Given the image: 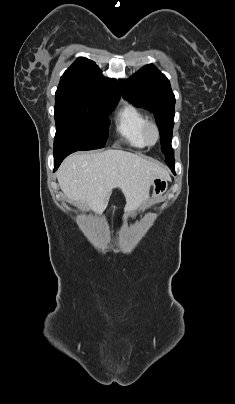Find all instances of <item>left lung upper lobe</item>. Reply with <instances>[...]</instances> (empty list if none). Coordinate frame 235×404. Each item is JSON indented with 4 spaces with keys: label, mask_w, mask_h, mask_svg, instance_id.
<instances>
[{
    "label": "left lung upper lobe",
    "mask_w": 235,
    "mask_h": 404,
    "mask_svg": "<svg viewBox=\"0 0 235 404\" xmlns=\"http://www.w3.org/2000/svg\"><path fill=\"white\" fill-rule=\"evenodd\" d=\"M123 97L137 107L153 112L160 131V143L166 163H174L171 147L175 96L169 80L154 65H146L129 79L119 81Z\"/></svg>",
    "instance_id": "obj_1"
}]
</instances>
